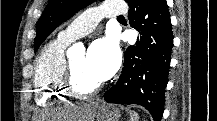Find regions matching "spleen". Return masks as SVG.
<instances>
[{
    "mask_svg": "<svg viewBox=\"0 0 217 121\" xmlns=\"http://www.w3.org/2000/svg\"><path fill=\"white\" fill-rule=\"evenodd\" d=\"M138 114L134 111H130V121H138Z\"/></svg>",
    "mask_w": 217,
    "mask_h": 121,
    "instance_id": "obj_1",
    "label": "spleen"
}]
</instances>
